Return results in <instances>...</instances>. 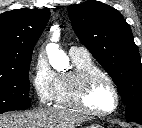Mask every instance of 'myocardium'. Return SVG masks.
Wrapping results in <instances>:
<instances>
[{
    "label": "myocardium",
    "mask_w": 142,
    "mask_h": 128,
    "mask_svg": "<svg viewBox=\"0 0 142 128\" xmlns=\"http://www.w3.org/2000/svg\"><path fill=\"white\" fill-rule=\"evenodd\" d=\"M99 79L105 80L113 91L115 104L111 110L98 111L89 105L88 97L90 90ZM71 98L77 109L96 117H106L112 115L116 112L120 104V94L114 80L102 70H90L75 73L72 78Z\"/></svg>",
    "instance_id": "f54148a6"
}]
</instances>
